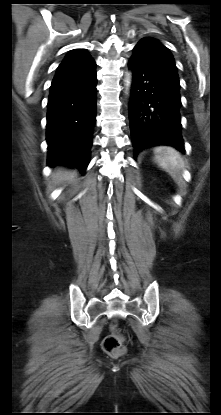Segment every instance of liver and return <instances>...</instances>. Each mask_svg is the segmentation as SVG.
Returning a JSON list of instances; mask_svg holds the SVG:
<instances>
[{
  "instance_id": "liver-1",
  "label": "liver",
  "mask_w": 221,
  "mask_h": 415,
  "mask_svg": "<svg viewBox=\"0 0 221 415\" xmlns=\"http://www.w3.org/2000/svg\"><path fill=\"white\" fill-rule=\"evenodd\" d=\"M77 175L76 171L66 170L64 168H57L53 173V178L57 183L72 180Z\"/></svg>"
}]
</instances>
